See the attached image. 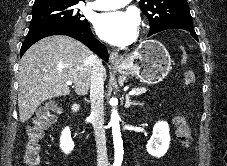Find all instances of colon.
<instances>
[{
    "mask_svg": "<svg viewBox=\"0 0 227 166\" xmlns=\"http://www.w3.org/2000/svg\"><path fill=\"white\" fill-rule=\"evenodd\" d=\"M179 62L184 66H188L190 62L189 55L186 50H181ZM194 80V71L187 68L185 72V83L192 84ZM59 112V105L55 101H49L42 106L29 126L27 131V140L25 142L23 160L27 166H39L41 161L42 140L48 126L52 123L55 115ZM176 132L182 144H187L190 139V129L183 115L178 114L174 119Z\"/></svg>",
    "mask_w": 227,
    "mask_h": 166,
    "instance_id": "5ec220e1",
    "label": "colon"
}]
</instances>
